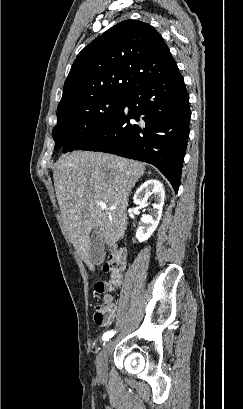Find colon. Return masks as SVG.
I'll use <instances>...</instances> for the list:
<instances>
[{"label": "colon", "instance_id": "colon-1", "mask_svg": "<svg viewBox=\"0 0 243 409\" xmlns=\"http://www.w3.org/2000/svg\"><path fill=\"white\" fill-rule=\"evenodd\" d=\"M126 265V256L123 248L114 246L111 248L110 255L104 265L106 272L110 274L108 282H98L95 290L98 293H105L112 290L119 284ZM111 308L108 304L102 302L95 308L94 321L97 325H104L111 317Z\"/></svg>", "mask_w": 243, "mask_h": 409}]
</instances>
